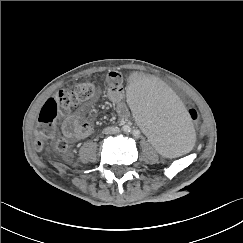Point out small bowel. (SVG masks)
I'll list each match as a JSON object with an SVG mask.
<instances>
[{"label":"small bowel","mask_w":243,"mask_h":243,"mask_svg":"<svg viewBox=\"0 0 243 243\" xmlns=\"http://www.w3.org/2000/svg\"><path fill=\"white\" fill-rule=\"evenodd\" d=\"M107 82L109 87L106 90V95L116 106L121 119L126 120L129 116V110L124 103L121 74L115 70L110 71L107 75ZM92 119L93 115H90L87 119L82 120L79 112L68 115L62 124L63 135L71 141L88 137L93 131Z\"/></svg>","instance_id":"1"}]
</instances>
